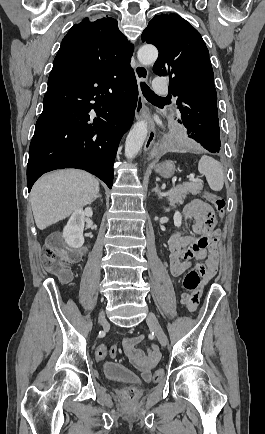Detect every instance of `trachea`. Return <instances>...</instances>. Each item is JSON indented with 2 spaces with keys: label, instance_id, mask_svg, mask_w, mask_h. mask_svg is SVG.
<instances>
[{
  "label": "trachea",
  "instance_id": "obj_1",
  "mask_svg": "<svg viewBox=\"0 0 265 434\" xmlns=\"http://www.w3.org/2000/svg\"><path fill=\"white\" fill-rule=\"evenodd\" d=\"M141 90H142L144 95H150L153 98H158L161 100H167V97H159L158 95L156 96V94L148 87V85H146V83H141Z\"/></svg>",
  "mask_w": 265,
  "mask_h": 434
}]
</instances>
